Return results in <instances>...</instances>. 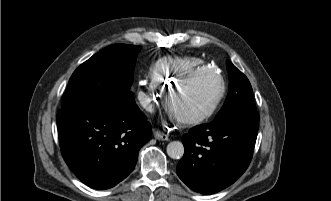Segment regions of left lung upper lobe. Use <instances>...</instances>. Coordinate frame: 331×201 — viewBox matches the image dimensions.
Segmentation results:
<instances>
[{
    "mask_svg": "<svg viewBox=\"0 0 331 201\" xmlns=\"http://www.w3.org/2000/svg\"><path fill=\"white\" fill-rule=\"evenodd\" d=\"M229 72V93L215 119L234 114L257 112L253 90L247 77L230 61H227Z\"/></svg>",
    "mask_w": 331,
    "mask_h": 201,
    "instance_id": "5c2ea615",
    "label": "left lung upper lobe"
}]
</instances>
